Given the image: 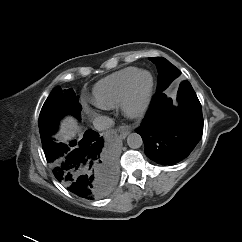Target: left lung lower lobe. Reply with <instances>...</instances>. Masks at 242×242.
I'll return each instance as SVG.
<instances>
[{
	"label": "left lung lower lobe",
	"mask_w": 242,
	"mask_h": 242,
	"mask_svg": "<svg viewBox=\"0 0 242 242\" xmlns=\"http://www.w3.org/2000/svg\"><path fill=\"white\" fill-rule=\"evenodd\" d=\"M177 102L173 105L163 91H157L136 129L143 139L146 156L161 165L186 159L203 134L201 104L188 81L180 84Z\"/></svg>",
	"instance_id": "left-lung-lower-lobe-1"
}]
</instances>
